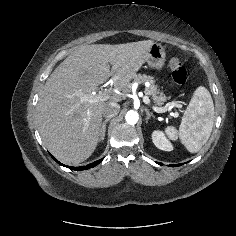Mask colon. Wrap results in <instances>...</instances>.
Returning <instances> with one entry per match:
<instances>
[{
	"label": "colon",
	"instance_id": "colon-1",
	"mask_svg": "<svg viewBox=\"0 0 236 236\" xmlns=\"http://www.w3.org/2000/svg\"><path fill=\"white\" fill-rule=\"evenodd\" d=\"M169 68L171 70L172 79L177 84H185L188 80V70L183 65L182 60L178 56H171L169 59Z\"/></svg>",
	"mask_w": 236,
	"mask_h": 236
}]
</instances>
